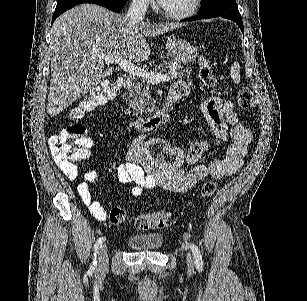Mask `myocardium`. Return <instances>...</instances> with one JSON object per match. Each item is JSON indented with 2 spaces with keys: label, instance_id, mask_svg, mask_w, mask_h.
I'll use <instances>...</instances> for the list:
<instances>
[{
  "label": "myocardium",
  "instance_id": "f54148a6",
  "mask_svg": "<svg viewBox=\"0 0 307 301\" xmlns=\"http://www.w3.org/2000/svg\"><path fill=\"white\" fill-rule=\"evenodd\" d=\"M199 0H192L190 5L183 11H177L171 8L168 4H157L155 12L164 13L165 18H173L174 22H181L182 17H192Z\"/></svg>",
  "mask_w": 307,
  "mask_h": 301
}]
</instances>
